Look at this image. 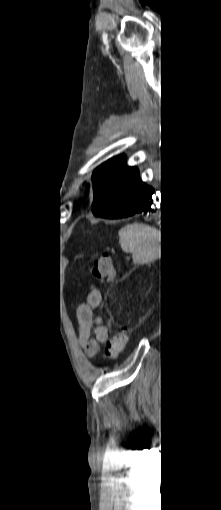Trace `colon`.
I'll return each instance as SVG.
<instances>
[{
	"instance_id": "obj_1",
	"label": "colon",
	"mask_w": 221,
	"mask_h": 510,
	"mask_svg": "<svg viewBox=\"0 0 221 510\" xmlns=\"http://www.w3.org/2000/svg\"><path fill=\"white\" fill-rule=\"evenodd\" d=\"M92 274L102 281H112L114 279L113 262L109 255L98 254L92 260ZM129 339V330L124 328L114 334L106 346V355L109 359H115L126 347Z\"/></svg>"
}]
</instances>
